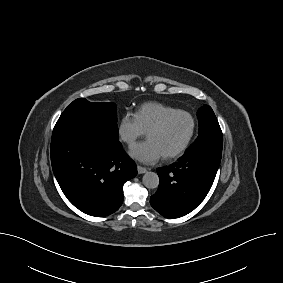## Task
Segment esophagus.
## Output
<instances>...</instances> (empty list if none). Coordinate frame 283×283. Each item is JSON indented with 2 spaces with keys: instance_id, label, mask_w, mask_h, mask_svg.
Returning <instances> with one entry per match:
<instances>
[{
  "instance_id": "esophagus-1",
  "label": "esophagus",
  "mask_w": 283,
  "mask_h": 283,
  "mask_svg": "<svg viewBox=\"0 0 283 283\" xmlns=\"http://www.w3.org/2000/svg\"><path fill=\"white\" fill-rule=\"evenodd\" d=\"M137 171L139 174H143L145 172H147V169L142 167V166H137Z\"/></svg>"
}]
</instances>
